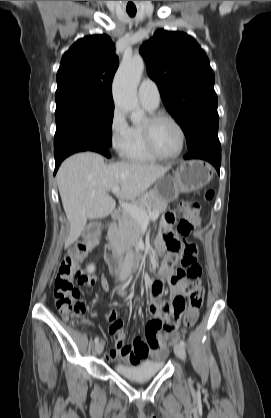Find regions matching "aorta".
Segmentation results:
<instances>
[{
  "instance_id": "762f6f07",
  "label": "aorta",
  "mask_w": 271,
  "mask_h": 418,
  "mask_svg": "<svg viewBox=\"0 0 271 418\" xmlns=\"http://www.w3.org/2000/svg\"><path fill=\"white\" fill-rule=\"evenodd\" d=\"M145 64L141 56L122 61L113 82V98L115 105L131 114V121L138 123L144 114L137 98V86L141 79Z\"/></svg>"
}]
</instances>
